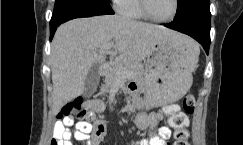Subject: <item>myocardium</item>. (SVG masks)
<instances>
[{
    "instance_id": "f54148a6",
    "label": "myocardium",
    "mask_w": 243,
    "mask_h": 145,
    "mask_svg": "<svg viewBox=\"0 0 243 145\" xmlns=\"http://www.w3.org/2000/svg\"><path fill=\"white\" fill-rule=\"evenodd\" d=\"M138 3H139V8H140L141 12L143 13V15L145 16V18H147L153 22H157V23L172 22L175 19V17L177 16V13L179 10V0H174V8H173V12H172L171 16L167 19H157L151 15V13L148 9L147 0H138Z\"/></svg>"
}]
</instances>
